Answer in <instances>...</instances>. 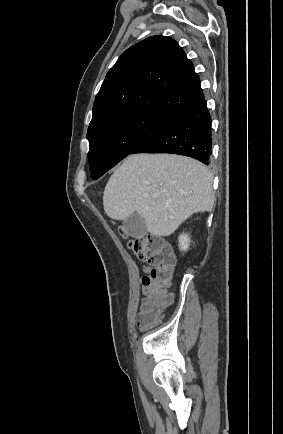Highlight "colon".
Segmentation results:
<instances>
[{
    "instance_id": "colon-1",
    "label": "colon",
    "mask_w": 283,
    "mask_h": 434,
    "mask_svg": "<svg viewBox=\"0 0 283 434\" xmlns=\"http://www.w3.org/2000/svg\"><path fill=\"white\" fill-rule=\"evenodd\" d=\"M129 247L139 260L151 266L149 273L142 278L144 298L137 319L140 327L147 328L159 321L171 301L168 289L175 260L168 245L155 236L133 238Z\"/></svg>"
}]
</instances>
